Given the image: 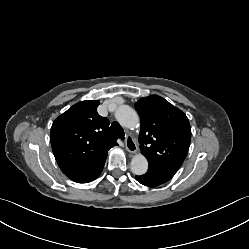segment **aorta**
Wrapping results in <instances>:
<instances>
[{
    "label": "aorta",
    "instance_id": "obj_1",
    "mask_svg": "<svg viewBox=\"0 0 249 249\" xmlns=\"http://www.w3.org/2000/svg\"><path fill=\"white\" fill-rule=\"evenodd\" d=\"M117 122L130 129L139 125V117L134 109L128 105H121L115 111ZM131 170L135 175H143L148 170V161L142 154H136L131 160Z\"/></svg>",
    "mask_w": 249,
    "mask_h": 249
}]
</instances>
